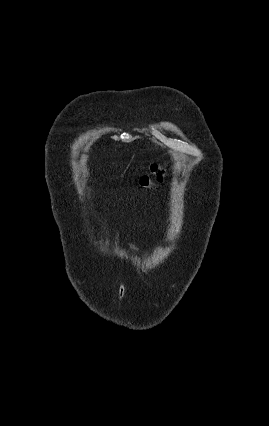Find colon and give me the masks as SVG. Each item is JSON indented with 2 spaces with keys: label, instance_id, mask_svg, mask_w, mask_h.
<instances>
[{
  "label": "colon",
  "instance_id": "1",
  "mask_svg": "<svg viewBox=\"0 0 269 426\" xmlns=\"http://www.w3.org/2000/svg\"><path fill=\"white\" fill-rule=\"evenodd\" d=\"M151 172V175H146L141 178L140 183L143 187L151 188L156 184V182H160L164 169L161 165L154 164L152 166Z\"/></svg>",
  "mask_w": 269,
  "mask_h": 426
}]
</instances>
